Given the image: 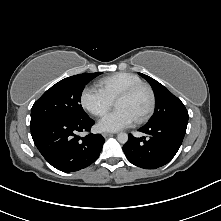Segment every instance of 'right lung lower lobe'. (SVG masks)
Instances as JSON below:
<instances>
[{
    "label": "right lung lower lobe",
    "instance_id": "obj_1",
    "mask_svg": "<svg viewBox=\"0 0 221 221\" xmlns=\"http://www.w3.org/2000/svg\"><path fill=\"white\" fill-rule=\"evenodd\" d=\"M89 116L74 118H43L30 122L33 141L46 159L63 172L81 170L99 157L105 139L100 134L79 137L94 124Z\"/></svg>",
    "mask_w": 221,
    "mask_h": 221
}]
</instances>
